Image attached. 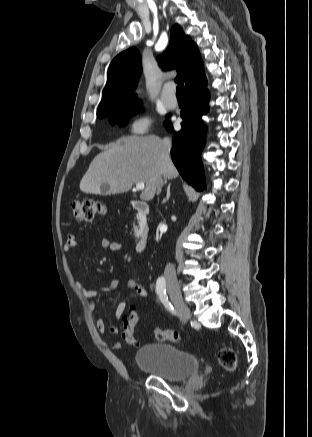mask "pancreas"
I'll list each match as a JSON object with an SVG mask.
<instances>
[{"instance_id": "cf45deb5", "label": "pancreas", "mask_w": 312, "mask_h": 437, "mask_svg": "<svg viewBox=\"0 0 312 437\" xmlns=\"http://www.w3.org/2000/svg\"><path fill=\"white\" fill-rule=\"evenodd\" d=\"M135 237H139L138 227L134 225Z\"/></svg>"}]
</instances>
